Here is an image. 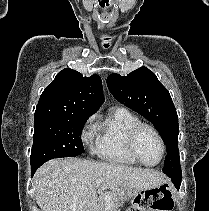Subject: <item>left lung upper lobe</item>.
Wrapping results in <instances>:
<instances>
[{"label":"left lung upper lobe","mask_w":209,"mask_h":211,"mask_svg":"<svg viewBox=\"0 0 209 211\" xmlns=\"http://www.w3.org/2000/svg\"><path fill=\"white\" fill-rule=\"evenodd\" d=\"M111 94L122 104L143 115L159 131L166 144L163 172L181 173L178 149V116L168 90L146 67L127 76L111 74L107 78Z\"/></svg>","instance_id":"left-lung-upper-lobe-1"}]
</instances>
